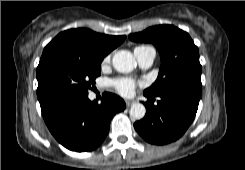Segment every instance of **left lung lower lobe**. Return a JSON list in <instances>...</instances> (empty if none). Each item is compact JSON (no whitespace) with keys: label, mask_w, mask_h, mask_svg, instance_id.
<instances>
[{"label":"left lung lower lobe","mask_w":245,"mask_h":170,"mask_svg":"<svg viewBox=\"0 0 245 170\" xmlns=\"http://www.w3.org/2000/svg\"><path fill=\"white\" fill-rule=\"evenodd\" d=\"M148 98L145 117L134 124L148 143L164 145L179 139L193 122L200 95L187 90H169ZM155 97L161 99L154 105Z\"/></svg>","instance_id":"1"}]
</instances>
